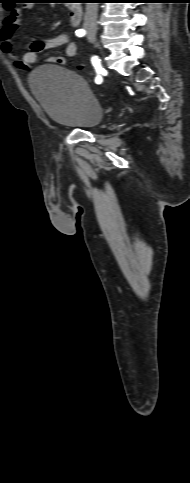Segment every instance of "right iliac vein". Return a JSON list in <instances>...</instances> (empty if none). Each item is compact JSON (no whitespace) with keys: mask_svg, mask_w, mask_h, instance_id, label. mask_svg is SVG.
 Instances as JSON below:
<instances>
[{"mask_svg":"<svg viewBox=\"0 0 190 483\" xmlns=\"http://www.w3.org/2000/svg\"><path fill=\"white\" fill-rule=\"evenodd\" d=\"M89 37H91L93 40L96 39V34L94 31H89Z\"/></svg>","mask_w":190,"mask_h":483,"instance_id":"63e3f726","label":"right iliac vein"}]
</instances>
